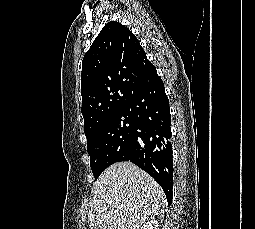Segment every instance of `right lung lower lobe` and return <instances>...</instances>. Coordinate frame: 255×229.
<instances>
[{"mask_svg": "<svg viewBox=\"0 0 255 229\" xmlns=\"http://www.w3.org/2000/svg\"><path fill=\"white\" fill-rule=\"evenodd\" d=\"M134 120L130 161L150 174L162 187L168 205L173 196L171 115L164 84L156 69L139 81L123 109Z\"/></svg>", "mask_w": 255, "mask_h": 229, "instance_id": "right-lung-lower-lobe-1", "label": "right lung lower lobe"}]
</instances>
